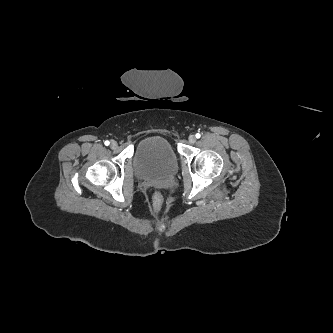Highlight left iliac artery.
Instances as JSON below:
<instances>
[{
    "instance_id": "left-iliac-artery-1",
    "label": "left iliac artery",
    "mask_w": 333,
    "mask_h": 333,
    "mask_svg": "<svg viewBox=\"0 0 333 333\" xmlns=\"http://www.w3.org/2000/svg\"><path fill=\"white\" fill-rule=\"evenodd\" d=\"M195 136H196V138H200L201 137V135L199 133H197Z\"/></svg>"
}]
</instances>
